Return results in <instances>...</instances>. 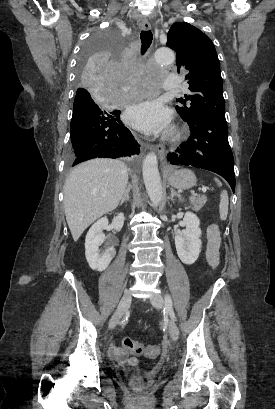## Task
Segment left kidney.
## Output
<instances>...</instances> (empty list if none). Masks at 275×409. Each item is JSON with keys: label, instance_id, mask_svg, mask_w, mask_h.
<instances>
[{"label": "left kidney", "instance_id": "obj_1", "mask_svg": "<svg viewBox=\"0 0 275 409\" xmlns=\"http://www.w3.org/2000/svg\"><path fill=\"white\" fill-rule=\"evenodd\" d=\"M183 223L185 231L175 235V247L177 255L184 265H193L201 253L202 241L199 239L202 231L199 229L200 221L194 213H186Z\"/></svg>", "mask_w": 275, "mask_h": 409}]
</instances>
